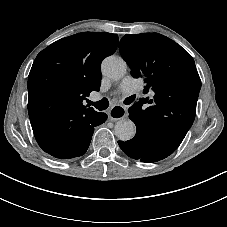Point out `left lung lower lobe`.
<instances>
[{"label":"left lung lower lobe","instance_id":"0a47b994","mask_svg":"<svg viewBox=\"0 0 227 227\" xmlns=\"http://www.w3.org/2000/svg\"><path fill=\"white\" fill-rule=\"evenodd\" d=\"M131 118L132 115H129ZM122 151L129 157L146 163L162 160L176 149L155 140L148 132L137 129L136 135L126 142L118 141Z\"/></svg>","mask_w":227,"mask_h":227}]
</instances>
